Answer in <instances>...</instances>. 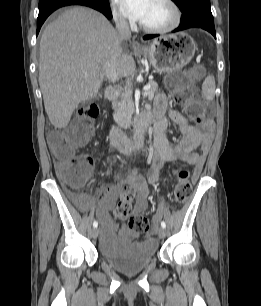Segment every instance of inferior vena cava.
I'll return each instance as SVG.
<instances>
[{
    "instance_id": "602c4592",
    "label": "inferior vena cava",
    "mask_w": 261,
    "mask_h": 306,
    "mask_svg": "<svg viewBox=\"0 0 261 306\" xmlns=\"http://www.w3.org/2000/svg\"><path fill=\"white\" fill-rule=\"evenodd\" d=\"M115 24L117 33L121 41L131 38V31L128 22L123 17H116ZM118 57V50H116L104 65V75L110 82L118 80L116 62Z\"/></svg>"
}]
</instances>
